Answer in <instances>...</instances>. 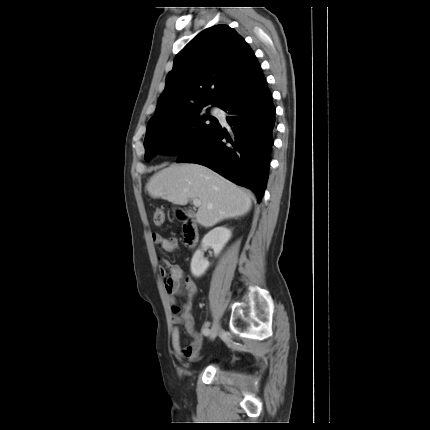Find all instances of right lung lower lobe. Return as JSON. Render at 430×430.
<instances>
[{"instance_id":"1","label":"right lung lower lobe","mask_w":430,"mask_h":430,"mask_svg":"<svg viewBox=\"0 0 430 430\" xmlns=\"http://www.w3.org/2000/svg\"><path fill=\"white\" fill-rule=\"evenodd\" d=\"M218 107L229 114L231 130L218 124L200 147L179 156L177 162L205 165L251 189L259 203L268 179L276 119L265 77L236 88Z\"/></svg>"}]
</instances>
